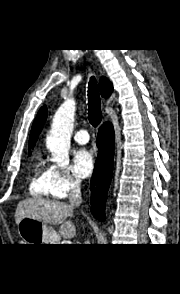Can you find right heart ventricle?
Here are the masks:
<instances>
[{
    "label": "right heart ventricle",
    "mask_w": 180,
    "mask_h": 294,
    "mask_svg": "<svg viewBox=\"0 0 180 294\" xmlns=\"http://www.w3.org/2000/svg\"><path fill=\"white\" fill-rule=\"evenodd\" d=\"M29 193L34 197L47 198L50 192V170L41 156H37L31 171Z\"/></svg>",
    "instance_id": "right-heart-ventricle-1"
}]
</instances>
